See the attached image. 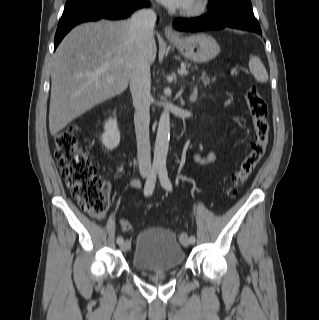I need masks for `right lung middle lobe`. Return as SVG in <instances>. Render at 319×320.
I'll return each instance as SVG.
<instances>
[{
  "instance_id": "right-lung-middle-lobe-1",
  "label": "right lung middle lobe",
  "mask_w": 319,
  "mask_h": 320,
  "mask_svg": "<svg viewBox=\"0 0 319 320\" xmlns=\"http://www.w3.org/2000/svg\"><path fill=\"white\" fill-rule=\"evenodd\" d=\"M92 0H67L64 11L73 10L83 4H86Z\"/></svg>"
}]
</instances>
